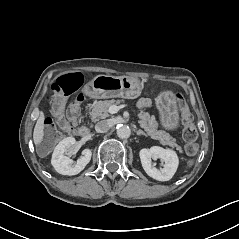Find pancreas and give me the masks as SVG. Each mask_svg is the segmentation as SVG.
I'll return each mask as SVG.
<instances>
[{"label":"pancreas","mask_w":239,"mask_h":239,"mask_svg":"<svg viewBox=\"0 0 239 239\" xmlns=\"http://www.w3.org/2000/svg\"><path fill=\"white\" fill-rule=\"evenodd\" d=\"M124 100H104L96 101L93 104L92 111L90 112V117L93 122L99 119H105L109 117V107L112 105H119ZM140 118V126L147 132V134L155 140H159L162 145H168L170 147H176V149L182 152V148L176 144V139L173 138L169 133L164 130H158V122L155 117L148 112L141 111L138 114Z\"/></svg>","instance_id":"cf45deb5"}]
</instances>
